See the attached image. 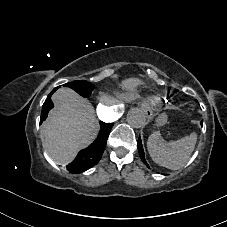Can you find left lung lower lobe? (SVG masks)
<instances>
[{
	"mask_svg": "<svg viewBox=\"0 0 227 227\" xmlns=\"http://www.w3.org/2000/svg\"><path fill=\"white\" fill-rule=\"evenodd\" d=\"M138 151H139V155L140 158L142 159V161L147 164L145 157H144V150H143V146H142V142H141V138H138ZM148 166V165H147Z\"/></svg>",
	"mask_w": 227,
	"mask_h": 227,
	"instance_id": "left-lung-lower-lobe-1",
	"label": "left lung lower lobe"
}]
</instances>
